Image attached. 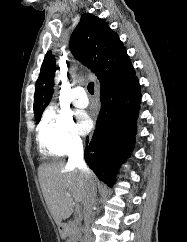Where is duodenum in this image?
Listing matches in <instances>:
<instances>
[{
    "instance_id": "obj_1",
    "label": "duodenum",
    "mask_w": 187,
    "mask_h": 242,
    "mask_svg": "<svg viewBox=\"0 0 187 242\" xmlns=\"http://www.w3.org/2000/svg\"><path fill=\"white\" fill-rule=\"evenodd\" d=\"M58 229H59L60 235L65 237L67 235V232H68V224L63 222L59 225Z\"/></svg>"
}]
</instances>
